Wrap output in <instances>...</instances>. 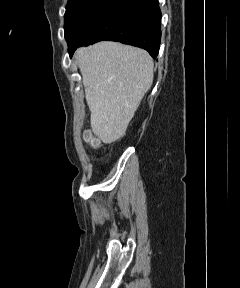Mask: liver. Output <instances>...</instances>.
Here are the masks:
<instances>
[{
    "mask_svg": "<svg viewBox=\"0 0 240 288\" xmlns=\"http://www.w3.org/2000/svg\"><path fill=\"white\" fill-rule=\"evenodd\" d=\"M91 111V128L105 144L126 132L153 82L154 63L147 51L102 41L75 53Z\"/></svg>",
    "mask_w": 240,
    "mask_h": 288,
    "instance_id": "6515ba94",
    "label": "liver"
}]
</instances>
